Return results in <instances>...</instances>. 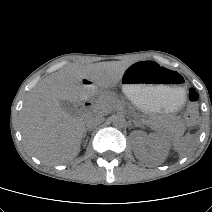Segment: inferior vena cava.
<instances>
[{
  "label": "inferior vena cava",
  "mask_w": 212,
  "mask_h": 212,
  "mask_svg": "<svg viewBox=\"0 0 212 212\" xmlns=\"http://www.w3.org/2000/svg\"><path fill=\"white\" fill-rule=\"evenodd\" d=\"M104 121V115L99 111L88 112L84 116V122L86 127L92 128Z\"/></svg>",
  "instance_id": "1"
}]
</instances>
